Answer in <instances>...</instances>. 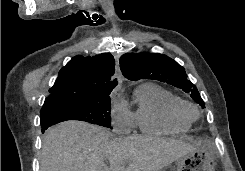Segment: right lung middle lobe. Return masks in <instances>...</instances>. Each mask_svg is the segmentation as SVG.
<instances>
[{
  "instance_id": "obj_1",
  "label": "right lung middle lobe",
  "mask_w": 245,
  "mask_h": 171,
  "mask_svg": "<svg viewBox=\"0 0 245 171\" xmlns=\"http://www.w3.org/2000/svg\"><path fill=\"white\" fill-rule=\"evenodd\" d=\"M109 95L93 99L57 100L45 102L41 112V126H51L66 120H81L111 128Z\"/></svg>"
}]
</instances>
